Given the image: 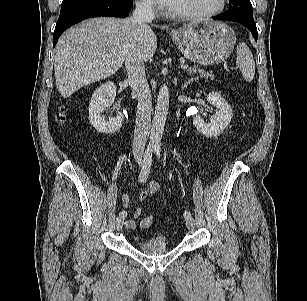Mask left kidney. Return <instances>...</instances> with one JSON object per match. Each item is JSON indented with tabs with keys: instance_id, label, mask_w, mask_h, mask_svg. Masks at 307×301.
Returning <instances> with one entry per match:
<instances>
[{
	"instance_id": "obj_1",
	"label": "left kidney",
	"mask_w": 307,
	"mask_h": 301,
	"mask_svg": "<svg viewBox=\"0 0 307 301\" xmlns=\"http://www.w3.org/2000/svg\"><path fill=\"white\" fill-rule=\"evenodd\" d=\"M207 101L217 108L216 114L211 117L210 123H206L200 116H196L193 119V125L204 136L215 137L229 125L232 118V108L217 92L209 93Z\"/></svg>"
}]
</instances>
